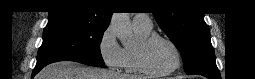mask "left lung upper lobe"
Here are the masks:
<instances>
[{
    "label": "left lung upper lobe",
    "mask_w": 255,
    "mask_h": 79,
    "mask_svg": "<svg viewBox=\"0 0 255 79\" xmlns=\"http://www.w3.org/2000/svg\"><path fill=\"white\" fill-rule=\"evenodd\" d=\"M159 9L154 17L160 28L180 51L187 74L219 72L210 41V32L199 12L167 11L175 1L156 0Z\"/></svg>",
    "instance_id": "1"
}]
</instances>
